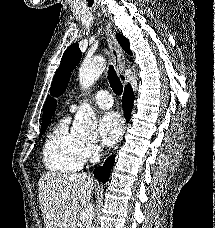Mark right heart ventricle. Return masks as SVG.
<instances>
[{"mask_svg":"<svg viewBox=\"0 0 215 228\" xmlns=\"http://www.w3.org/2000/svg\"><path fill=\"white\" fill-rule=\"evenodd\" d=\"M83 142L69 129V117L64 116L49 130L43 147V162L53 173L78 171L83 163Z\"/></svg>","mask_w":215,"mask_h":228,"instance_id":"obj_1","label":"right heart ventricle"}]
</instances>
